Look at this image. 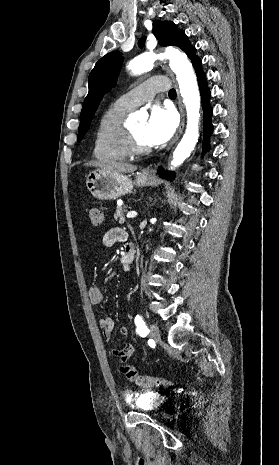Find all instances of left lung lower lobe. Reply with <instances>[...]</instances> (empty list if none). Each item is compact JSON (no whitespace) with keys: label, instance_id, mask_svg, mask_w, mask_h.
Returning a JSON list of instances; mask_svg holds the SVG:
<instances>
[{"label":"left lung lower lobe","instance_id":"1","mask_svg":"<svg viewBox=\"0 0 279 465\" xmlns=\"http://www.w3.org/2000/svg\"><path fill=\"white\" fill-rule=\"evenodd\" d=\"M193 67L195 69L198 85L200 88V93L202 97V105L204 110V141H203V149H209V137L213 132V127L211 124V116H212V109L209 105L210 100V91L207 87L206 75L202 71V62L200 58H197L195 61L192 62ZM158 174L162 178H166L168 180L174 179V172L165 171L162 168H159Z\"/></svg>","mask_w":279,"mask_h":465}]
</instances>
